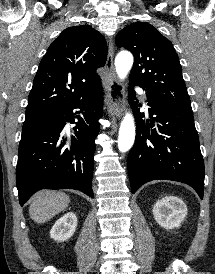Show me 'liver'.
<instances>
[{
    "instance_id": "6515ba94",
    "label": "liver",
    "mask_w": 215,
    "mask_h": 274,
    "mask_svg": "<svg viewBox=\"0 0 215 274\" xmlns=\"http://www.w3.org/2000/svg\"><path fill=\"white\" fill-rule=\"evenodd\" d=\"M68 195L61 192L40 191L29 207V215L37 223H45L52 217L64 211L69 205Z\"/></svg>"
}]
</instances>
